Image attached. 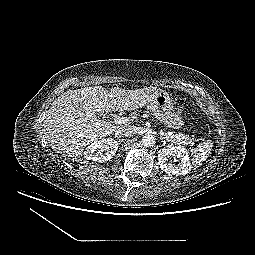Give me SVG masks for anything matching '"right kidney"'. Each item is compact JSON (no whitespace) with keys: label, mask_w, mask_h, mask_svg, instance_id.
<instances>
[{"label":"right kidney","mask_w":255,"mask_h":255,"mask_svg":"<svg viewBox=\"0 0 255 255\" xmlns=\"http://www.w3.org/2000/svg\"><path fill=\"white\" fill-rule=\"evenodd\" d=\"M117 150L118 142L116 140L103 138L88 145L83 151V155L87 160L102 163L110 160Z\"/></svg>","instance_id":"1"}]
</instances>
